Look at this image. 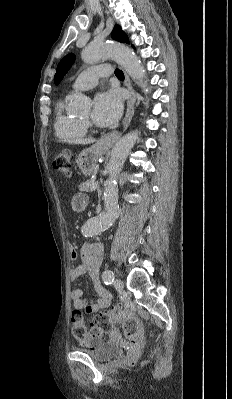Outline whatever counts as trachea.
Listing matches in <instances>:
<instances>
[{
	"label": "trachea",
	"mask_w": 232,
	"mask_h": 399,
	"mask_svg": "<svg viewBox=\"0 0 232 399\" xmlns=\"http://www.w3.org/2000/svg\"><path fill=\"white\" fill-rule=\"evenodd\" d=\"M115 75L120 80H124V78H125L122 70H119L118 68L115 70Z\"/></svg>",
	"instance_id": "1"
}]
</instances>
